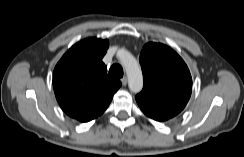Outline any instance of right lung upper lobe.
I'll use <instances>...</instances> for the list:
<instances>
[{
	"instance_id": "1",
	"label": "right lung upper lobe",
	"mask_w": 244,
	"mask_h": 157,
	"mask_svg": "<svg viewBox=\"0 0 244 157\" xmlns=\"http://www.w3.org/2000/svg\"><path fill=\"white\" fill-rule=\"evenodd\" d=\"M108 40L87 38L73 45L53 72L56 99L70 117L88 122L109 106L121 82L107 75L102 62Z\"/></svg>"
}]
</instances>
